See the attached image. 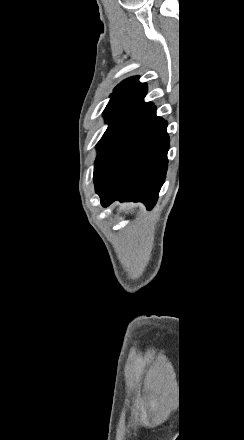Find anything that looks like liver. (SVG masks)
<instances>
[{"label":"liver","mask_w":244,"mask_h":440,"mask_svg":"<svg viewBox=\"0 0 244 440\" xmlns=\"http://www.w3.org/2000/svg\"><path fill=\"white\" fill-rule=\"evenodd\" d=\"M135 204H122L120 206L119 210L120 212H126V210H131V208H134Z\"/></svg>","instance_id":"1"}]
</instances>
